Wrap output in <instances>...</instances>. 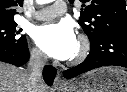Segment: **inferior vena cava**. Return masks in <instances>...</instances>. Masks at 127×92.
<instances>
[{"mask_svg":"<svg viewBox=\"0 0 127 92\" xmlns=\"http://www.w3.org/2000/svg\"><path fill=\"white\" fill-rule=\"evenodd\" d=\"M47 62V56L41 51L33 50L28 62L29 92H38L39 85H43L42 71Z\"/></svg>","mask_w":127,"mask_h":92,"instance_id":"602c4592","label":"inferior vena cava"}]
</instances>
